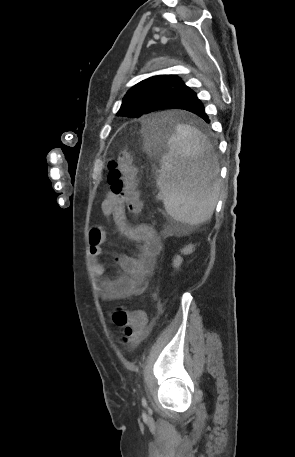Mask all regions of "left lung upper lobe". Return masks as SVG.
Segmentation results:
<instances>
[{
	"label": "left lung upper lobe",
	"mask_w": 295,
	"mask_h": 457,
	"mask_svg": "<svg viewBox=\"0 0 295 457\" xmlns=\"http://www.w3.org/2000/svg\"><path fill=\"white\" fill-rule=\"evenodd\" d=\"M176 75H156L133 86L123 98L118 116L140 117L166 97L187 89Z\"/></svg>",
	"instance_id": "left-lung-upper-lobe-1"
}]
</instances>
